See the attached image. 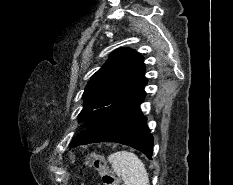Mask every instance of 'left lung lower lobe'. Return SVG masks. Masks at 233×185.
Segmentation results:
<instances>
[{"label":"left lung lower lobe","instance_id":"left-lung-lower-lobe-1","mask_svg":"<svg viewBox=\"0 0 233 185\" xmlns=\"http://www.w3.org/2000/svg\"><path fill=\"white\" fill-rule=\"evenodd\" d=\"M147 78L125 91L92 127L83 131L70 144L71 147L94 143L116 142L143 152L149 159L153 154V137L140 110L145 98Z\"/></svg>","mask_w":233,"mask_h":185}]
</instances>
